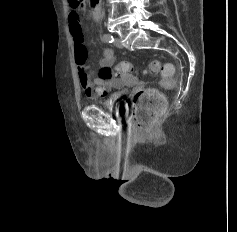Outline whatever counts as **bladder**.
Returning <instances> with one entry per match:
<instances>
[{"label": "bladder", "mask_w": 237, "mask_h": 232, "mask_svg": "<svg viewBox=\"0 0 237 232\" xmlns=\"http://www.w3.org/2000/svg\"><path fill=\"white\" fill-rule=\"evenodd\" d=\"M125 95H126V91L121 90L120 99L111 101L110 103L109 102L105 103V107L113 110L117 117L124 118L127 114L128 102L127 100L123 99Z\"/></svg>", "instance_id": "31cf9c89"}]
</instances>
